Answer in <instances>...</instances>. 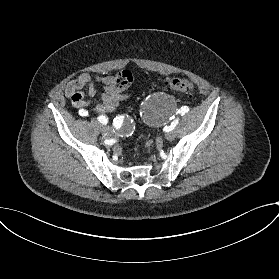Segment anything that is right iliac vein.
Returning a JSON list of instances; mask_svg holds the SVG:
<instances>
[{
    "mask_svg": "<svg viewBox=\"0 0 279 279\" xmlns=\"http://www.w3.org/2000/svg\"><path fill=\"white\" fill-rule=\"evenodd\" d=\"M100 131H101L102 134H108V135L111 134V129L107 126L100 127Z\"/></svg>",
    "mask_w": 279,
    "mask_h": 279,
    "instance_id": "right-iliac-vein-1",
    "label": "right iliac vein"
}]
</instances>
